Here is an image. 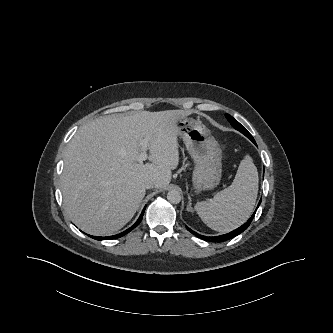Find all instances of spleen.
<instances>
[{"label":"spleen","instance_id":"3e777b00","mask_svg":"<svg viewBox=\"0 0 333 333\" xmlns=\"http://www.w3.org/2000/svg\"><path fill=\"white\" fill-rule=\"evenodd\" d=\"M258 172L246 156L240 163L233 183L212 200L198 202L195 210L202 221L219 232L231 231L251 215L258 194Z\"/></svg>","mask_w":333,"mask_h":333}]
</instances>
